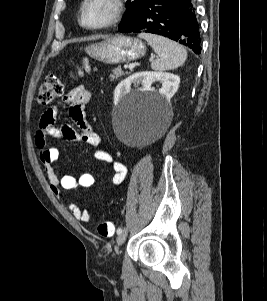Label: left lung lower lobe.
Wrapping results in <instances>:
<instances>
[{
  "label": "left lung lower lobe",
  "instance_id": "1",
  "mask_svg": "<svg viewBox=\"0 0 267 301\" xmlns=\"http://www.w3.org/2000/svg\"><path fill=\"white\" fill-rule=\"evenodd\" d=\"M121 33H152L201 52L199 25L191 0H146L137 17L119 27Z\"/></svg>",
  "mask_w": 267,
  "mask_h": 301
}]
</instances>
